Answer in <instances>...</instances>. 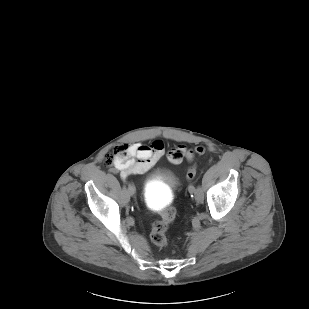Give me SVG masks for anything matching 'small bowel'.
I'll use <instances>...</instances> for the list:
<instances>
[{"label":"small bowel","mask_w":309,"mask_h":309,"mask_svg":"<svg viewBox=\"0 0 309 309\" xmlns=\"http://www.w3.org/2000/svg\"><path fill=\"white\" fill-rule=\"evenodd\" d=\"M129 153L125 162L116 165L121 175L126 177L150 170L164 156L165 146L161 140H155L151 144L135 142L129 145ZM193 157V151L181 145L171 152L169 158L172 163L177 164L184 160L190 161Z\"/></svg>","instance_id":"obj_1"}]
</instances>
